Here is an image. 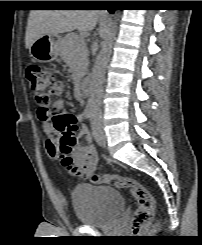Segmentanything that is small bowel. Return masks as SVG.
Wrapping results in <instances>:
<instances>
[{"instance_id":"obj_1","label":"small bowel","mask_w":202,"mask_h":245,"mask_svg":"<svg viewBox=\"0 0 202 245\" xmlns=\"http://www.w3.org/2000/svg\"><path fill=\"white\" fill-rule=\"evenodd\" d=\"M52 109L61 113L63 110V102L61 100L55 102ZM77 118L79 121H82L83 115H79ZM42 129L46 135L48 152L52 154V151L56 150L58 146L54 140L53 127L51 123L44 121L42 124ZM81 133L83 140L77 138V145L72 149V157L78 165L77 172L74 174L80 179H89L96 170L98 157L96 148L90 142L91 136L89 131L85 126L81 128Z\"/></svg>"}]
</instances>
